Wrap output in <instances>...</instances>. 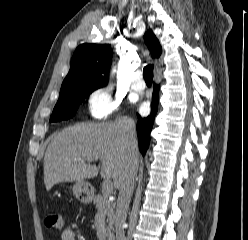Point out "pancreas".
I'll return each instance as SVG.
<instances>
[{"label":"pancreas","instance_id":"1","mask_svg":"<svg viewBox=\"0 0 248 240\" xmlns=\"http://www.w3.org/2000/svg\"><path fill=\"white\" fill-rule=\"evenodd\" d=\"M93 204L95 205L97 211L99 214H102L106 218V222L108 224L106 228V237L108 240L114 239V223H115V217H114V204L111 203L108 200V197L106 195H100L98 194L94 200Z\"/></svg>","mask_w":248,"mask_h":240}]
</instances>
